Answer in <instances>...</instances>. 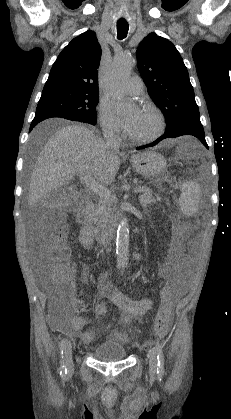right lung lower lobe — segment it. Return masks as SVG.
I'll use <instances>...</instances> for the list:
<instances>
[{"label": "right lung lower lobe", "mask_w": 231, "mask_h": 419, "mask_svg": "<svg viewBox=\"0 0 231 419\" xmlns=\"http://www.w3.org/2000/svg\"><path fill=\"white\" fill-rule=\"evenodd\" d=\"M41 121H43V119L40 117V118H36V119H34L33 121H32V123H31V126H30V130L29 131H31L39 122H41Z\"/></svg>", "instance_id": "right-lung-lower-lobe-1"}]
</instances>
